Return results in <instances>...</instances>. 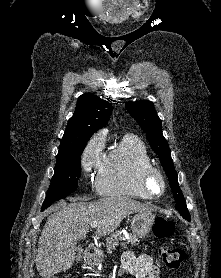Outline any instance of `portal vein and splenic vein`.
Masks as SVG:
<instances>
[{"mask_svg":"<svg viewBox=\"0 0 221 278\" xmlns=\"http://www.w3.org/2000/svg\"><path fill=\"white\" fill-rule=\"evenodd\" d=\"M90 226L91 228H96L98 226V222L93 221Z\"/></svg>","mask_w":221,"mask_h":278,"instance_id":"18ae733b","label":"portal vein and splenic vein"}]
</instances>
